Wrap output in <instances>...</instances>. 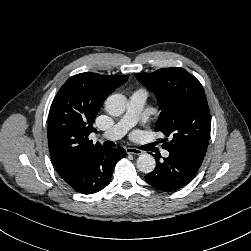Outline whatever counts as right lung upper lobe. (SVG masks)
I'll return each mask as SVG.
<instances>
[{"label": "right lung upper lobe", "mask_w": 251, "mask_h": 251, "mask_svg": "<svg viewBox=\"0 0 251 251\" xmlns=\"http://www.w3.org/2000/svg\"><path fill=\"white\" fill-rule=\"evenodd\" d=\"M128 79L126 75L80 73L70 77L56 94L49 112L48 145L52 161L64 178L90 150L89 134L104 100Z\"/></svg>", "instance_id": "cb5924a9"}]
</instances>
